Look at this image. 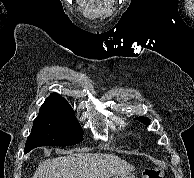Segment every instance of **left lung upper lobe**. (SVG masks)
<instances>
[{
    "instance_id": "left-lung-upper-lobe-1",
    "label": "left lung upper lobe",
    "mask_w": 194,
    "mask_h": 178,
    "mask_svg": "<svg viewBox=\"0 0 194 178\" xmlns=\"http://www.w3.org/2000/svg\"><path fill=\"white\" fill-rule=\"evenodd\" d=\"M137 120H139L140 122L149 125L150 124V119H148L147 117H143V116H139L137 118H135Z\"/></svg>"
}]
</instances>
